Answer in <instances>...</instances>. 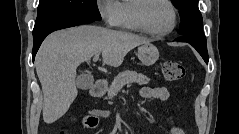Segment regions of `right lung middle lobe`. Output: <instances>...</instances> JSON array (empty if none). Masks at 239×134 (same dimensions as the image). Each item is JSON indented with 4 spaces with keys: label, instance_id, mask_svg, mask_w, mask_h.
<instances>
[{
    "label": "right lung middle lobe",
    "instance_id": "1",
    "mask_svg": "<svg viewBox=\"0 0 239 134\" xmlns=\"http://www.w3.org/2000/svg\"><path fill=\"white\" fill-rule=\"evenodd\" d=\"M71 17L101 20L96 0H40L33 34L55 21Z\"/></svg>",
    "mask_w": 239,
    "mask_h": 134
}]
</instances>
